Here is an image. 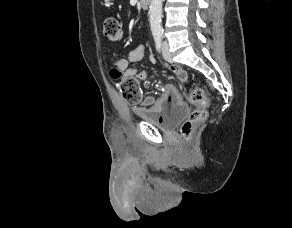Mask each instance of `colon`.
<instances>
[{"mask_svg": "<svg viewBox=\"0 0 292 228\" xmlns=\"http://www.w3.org/2000/svg\"><path fill=\"white\" fill-rule=\"evenodd\" d=\"M103 32L110 41H119L123 36L120 21L115 16H107L103 21ZM111 75L115 79H120L119 90L124 99L130 104H136L141 99V91L135 78H122L121 72L112 68ZM189 99L196 106L188 119L181 127L183 137L190 138L196 125L203 122L207 116L208 98L204 90L194 87L189 90Z\"/></svg>", "mask_w": 292, "mask_h": 228, "instance_id": "5ec220e1", "label": "colon"}]
</instances>
